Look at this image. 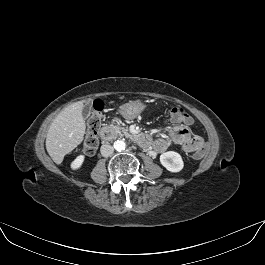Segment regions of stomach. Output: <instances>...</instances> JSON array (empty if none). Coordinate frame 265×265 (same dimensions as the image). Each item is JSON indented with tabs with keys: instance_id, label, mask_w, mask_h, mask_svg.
<instances>
[{
	"instance_id": "stomach-1",
	"label": "stomach",
	"mask_w": 265,
	"mask_h": 265,
	"mask_svg": "<svg viewBox=\"0 0 265 265\" xmlns=\"http://www.w3.org/2000/svg\"><path fill=\"white\" fill-rule=\"evenodd\" d=\"M146 108L142 101L128 102L119 107V113L122 117L132 120L140 115Z\"/></svg>"
}]
</instances>
